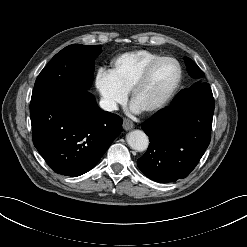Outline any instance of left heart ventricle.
Returning <instances> with one entry per match:
<instances>
[{
  "instance_id": "left-heart-ventricle-1",
  "label": "left heart ventricle",
  "mask_w": 247,
  "mask_h": 247,
  "mask_svg": "<svg viewBox=\"0 0 247 247\" xmlns=\"http://www.w3.org/2000/svg\"><path fill=\"white\" fill-rule=\"evenodd\" d=\"M176 64L171 60L159 62L152 70L147 82L137 92L134 102L146 109L161 100L177 78Z\"/></svg>"
}]
</instances>
